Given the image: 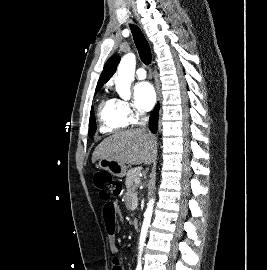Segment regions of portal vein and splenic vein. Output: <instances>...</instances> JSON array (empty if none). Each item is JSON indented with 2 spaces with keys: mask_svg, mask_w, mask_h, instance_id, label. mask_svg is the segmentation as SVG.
Masks as SVG:
<instances>
[{
  "mask_svg": "<svg viewBox=\"0 0 267 270\" xmlns=\"http://www.w3.org/2000/svg\"><path fill=\"white\" fill-rule=\"evenodd\" d=\"M135 182H136V183H140V179H139V178H136V179H135Z\"/></svg>",
  "mask_w": 267,
  "mask_h": 270,
  "instance_id": "1",
  "label": "portal vein and splenic vein"
}]
</instances>
